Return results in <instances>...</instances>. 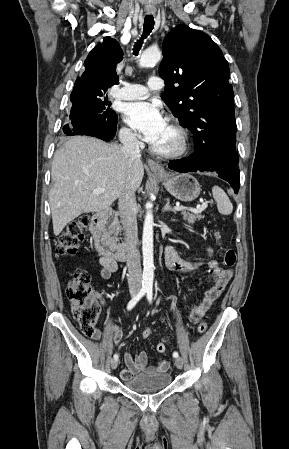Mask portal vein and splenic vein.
Masks as SVG:
<instances>
[{
	"mask_svg": "<svg viewBox=\"0 0 289 449\" xmlns=\"http://www.w3.org/2000/svg\"><path fill=\"white\" fill-rule=\"evenodd\" d=\"M94 194H100V193H104L105 190L103 188H96L93 189L92 191ZM208 206L207 202H204L201 206H198L197 208H188V207H184V206H175V210L176 211H184V210H189L193 213H200L202 212L204 209H206Z\"/></svg>",
	"mask_w": 289,
	"mask_h": 449,
	"instance_id": "1",
	"label": "portal vein and splenic vein"
}]
</instances>
